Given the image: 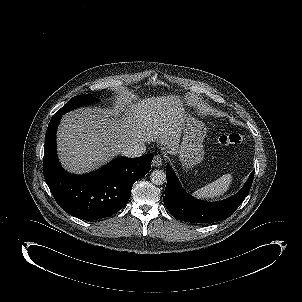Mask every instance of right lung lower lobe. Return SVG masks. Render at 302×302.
<instances>
[{"label": "right lung lower lobe", "mask_w": 302, "mask_h": 302, "mask_svg": "<svg viewBox=\"0 0 302 302\" xmlns=\"http://www.w3.org/2000/svg\"><path fill=\"white\" fill-rule=\"evenodd\" d=\"M61 116L53 115L45 135L46 183L68 214L88 221L110 217L127 204L133 184L150 171L154 155L115 159L87 175L69 174L61 168L56 153V130Z\"/></svg>", "instance_id": "1"}]
</instances>
